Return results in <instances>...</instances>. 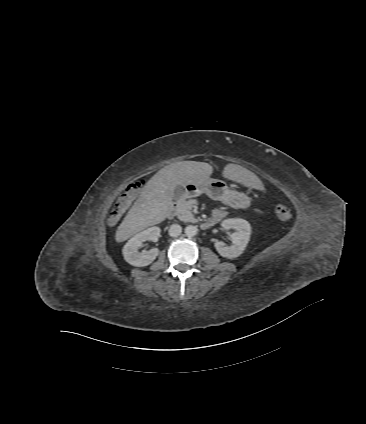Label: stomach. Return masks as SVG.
Segmentation results:
<instances>
[{
  "label": "stomach",
  "instance_id": "0dacf381",
  "mask_svg": "<svg viewBox=\"0 0 366 424\" xmlns=\"http://www.w3.org/2000/svg\"><path fill=\"white\" fill-rule=\"evenodd\" d=\"M183 195L199 196L206 194L213 200H219L230 207H237V199L243 204L250 203L249 197L237 191L230 190L223 180L208 178L199 183H186L182 185Z\"/></svg>",
  "mask_w": 366,
  "mask_h": 424
}]
</instances>
